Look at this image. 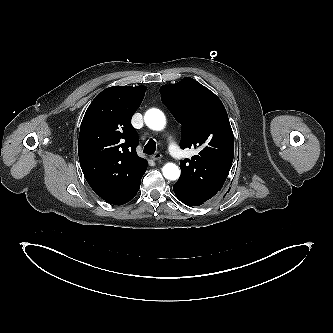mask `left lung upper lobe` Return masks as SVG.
Segmentation results:
<instances>
[{
    "instance_id": "obj_1",
    "label": "left lung upper lobe",
    "mask_w": 333,
    "mask_h": 333,
    "mask_svg": "<svg viewBox=\"0 0 333 333\" xmlns=\"http://www.w3.org/2000/svg\"><path fill=\"white\" fill-rule=\"evenodd\" d=\"M161 99L182 125L181 148L199 153L180 161L176 185L211 199L221 190L232 166L234 138L221 100L192 78L160 87Z\"/></svg>"
}]
</instances>
